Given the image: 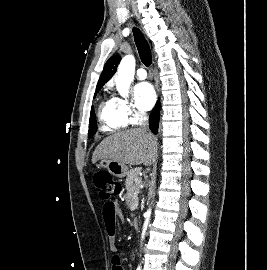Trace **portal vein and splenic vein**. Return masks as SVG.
<instances>
[{
  "instance_id": "18ae733b",
  "label": "portal vein and splenic vein",
  "mask_w": 267,
  "mask_h": 270,
  "mask_svg": "<svg viewBox=\"0 0 267 270\" xmlns=\"http://www.w3.org/2000/svg\"><path fill=\"white\" fill-rule=\"evenodd\" d=\"M135 182H136V183H140V182H141V179H140V178H136V179H135Z\"/></svg>"
}]
</instances>
